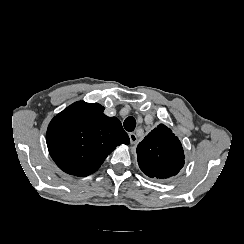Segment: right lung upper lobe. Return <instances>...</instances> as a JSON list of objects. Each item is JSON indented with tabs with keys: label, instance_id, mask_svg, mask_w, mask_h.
<instances>
[{
	"label": "right lung upper lobe",
	"instance_id": "1",
	"mask_svg": "<svg viewBox=\"0 0 244 244\" xmlns=\"http://www.w3.org/2000/svg\"><path fill=\"white\" fill-rule=\"evenodd\" d=\"M103 111L98 103L78 101L50 122L47 147L64 172L80 177L90 175L118 145L130 143L121 122Z\"/></svg>",
	"mask_w": 244,
	"mask_h": 244
}]
</instances>
